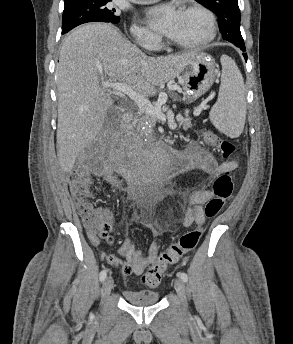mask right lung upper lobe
Returning <instances> with one entry per match:
<instances>
[{
	"label": "right lung upper lobe",
	"mask_w": 293,
	"mask_h": 344,
	"mask_svg": "<svg viewBox=\"0 0 293 344\" xmlns=\"http://www.w3.org/2000/svg\"><path fill=\"white\" fill-rule=\"evenodd\" d=\"M73 1H77V0H64V3H69V2H73Z\"/></svg>",
	"instance_id": "obj_1"
}]
</instances>
